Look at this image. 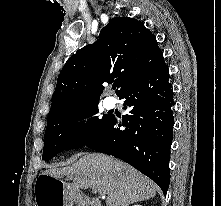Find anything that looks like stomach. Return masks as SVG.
Segmentation results:
<instances>
[{
    "label": "stomach",
    "instance_id": "stomach-1",
    "mask_svg": "<svg viewBox=\"0 0 221 206\" xmlns=\"http://www.w3.org/2000/svg\"><path fill=\"white\" fill-rule=\"evenodd\" d=\"M81 194L70 184L48 174H41L35 188V206H73Z\"/></svg>",
    "mask_w": 221,
    "mask_h": 206
}]
</instances>
